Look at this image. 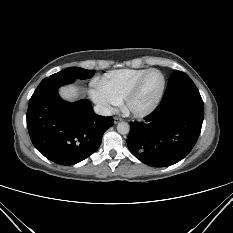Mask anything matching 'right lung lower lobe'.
Returning <instances> with one entry per match:
<instances>
[{
    "mask_svg": "<svg viewBox=\"0 0 233 233\" xmlns=\"http://www.w3.org/2000/svg\"><path fill=\"white\" fill-rule=\"evenodd\" d=\"M74 80L50 76L33 93L27 111V128L33 145L49 160L74 165L100 146L112 117L97 115L90 101L66 102L58 88Z\"/></svg>",
    "mask_w": 233,
    "mask_h": 233,
    "instance_id": "obj_1",
    "label": "right lung lower lobe"
}]
</instances>
